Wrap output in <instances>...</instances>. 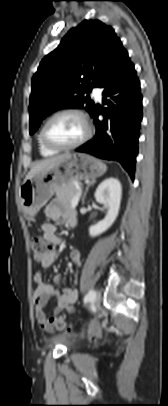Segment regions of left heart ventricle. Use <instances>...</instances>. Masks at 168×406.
I'll use <instances>...</instances> for the list:
<instances>
[{
  "instance_id": "b2bd125f",
  "label": "left heart ventricle",
  "mask_w": 168,
  "mask_h": 406,
  "mask_svg": "<svg viewBox=\"0 0 168 406\" xmlns=\"http://www.w3.org/2000/svg\"><path fill=\"white\" fill-rule=\"evenodd\" d=\"M84 132L85 126L79 116L63 114L49 123L46 136L56 145H69L79 140Z\"/></svg>"
}]
</instances>
